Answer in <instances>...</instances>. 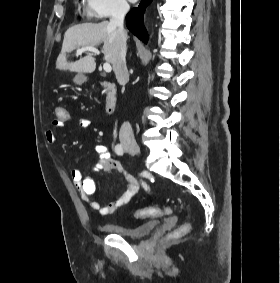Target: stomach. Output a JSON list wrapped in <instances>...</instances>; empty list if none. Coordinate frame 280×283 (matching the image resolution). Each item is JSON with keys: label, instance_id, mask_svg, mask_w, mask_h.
<instances>
[{"label": "stomach", "instance_id": "stomach-1", "mask_svg": "<svg viewBox=\"0 0 280 283\" xmlns=\"http://www.w3.org/2000/svg\"><path fill=\"white\" fill-rule=\"evenodd\" d=\"M86 76H84L83 74H78L74 77V82L77 84H82L86 81Z\"/></svg>", "mask_w": 280, "mask_h": 283}]
</instances>
